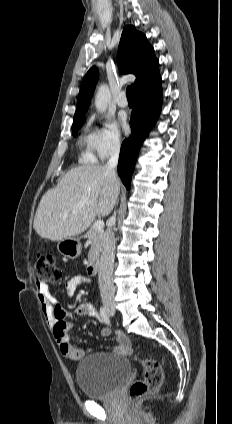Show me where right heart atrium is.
<instances>
[{
    "label": "right heart atrium",
    "instance_id": "d8ad5b80",
    "mask_svg": "<svg viewBox=\"0 0 232 424\" xmlns=\"http://www.w3.org/2000/svg\"><path fill=\"white\" fill-rule=\"evenodd\" d=\"M122 145V138L118 127L111 121H101L93 132L92 147L98 157L104 159L118 152Z\"/></svg>",
    "mask_w": 232,
    "mask_h": 424
}]
</instances>
